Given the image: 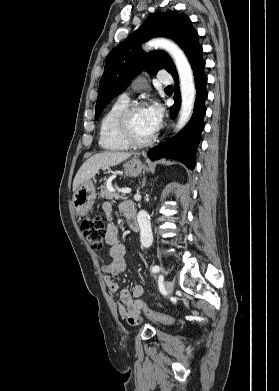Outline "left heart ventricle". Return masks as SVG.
<instances>
[{
	"label": "left heart ventricle",
	"instance_id": "left-heart-ventricle-1",
	"mask_svg": "<svg viewBox=\"0 0 279 391\" xmlns=\"http://www.w3.org/2000/svg\"><path fill=\"white\" fill-rule=\"evenodd\" d=\"M131 129L135 138L139 140H144L154 133L156 127L147 113V108L139 109L133 113Z\"/></svg>",
	"mask_w": 279,
	"mask_h": 391
}]
</instances>
